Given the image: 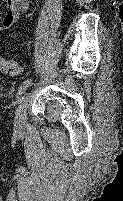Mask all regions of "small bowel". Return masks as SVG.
<instances>
[{
	"label": "small bowel",
	"instance_id": "c3829d8e",
	"mask_svg": "<svg viewBox=\"0 0 123 201\" xmlns=\"http://www.w3.org/2000/svg\"><path fill=\"white\" fill-rule=\"evenodd\" d=\"M7 10L0 21V32L17 24L21 13L29 9L28 0H5Z\"/></svg>",
	"mask_w": 123,
	"mask_h": 201
}]
</instances>
